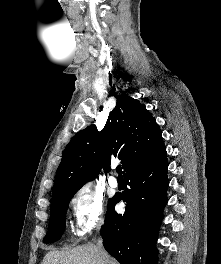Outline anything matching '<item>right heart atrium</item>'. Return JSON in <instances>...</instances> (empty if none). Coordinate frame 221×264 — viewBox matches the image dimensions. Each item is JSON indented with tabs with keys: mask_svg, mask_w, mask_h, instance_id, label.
I'll return each mask as SVG.
<instances>
[{
	"mask_svg": "<svg viewBox=\"0 0 221 264\" xmlns=\"http://www.w3.org/2000/svg\"><path fill=\"white\" fill-rule=\"evenodd\" d=\"M72 231L82 238L105 224V212L101 199L87 187L79 189L71 198Z\"/></svg>",
	"mask_w": 221,
	"mask_h": 264,
	"instance_id": "d8ad5b80",
	"label": "right heart atrium"
}]
</instances>
